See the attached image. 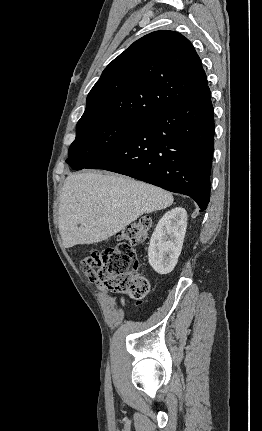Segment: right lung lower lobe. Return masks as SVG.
Returning <instances> with one entry per match:
<instances>
[{
  "label": "right lung lower lobe",
  "mask_w": 262,
  "mask_h": 431,
  "mask_svg": "<svg viewBox=\"0 0 262 431\" xmlns=\"http://www.w3.org/2000/svg\"><path fill=\"white\" fill-rule=\"evenodd\" d=\"M209 87L143 120L86 168L105 169L190 196L206 209L214 149Z\"/></svg>",
  "instance_id": "1"
}]
</instances>
